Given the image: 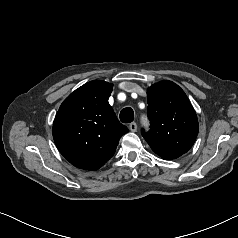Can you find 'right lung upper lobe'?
Instances as JSON below:
<instances>
[{"label":"right lung upper lobe","instance_id":"cb5924a9","mask_svg":"<svg viewBox=\"0 0 238 238\" xmlns=\"http://www.w3.org/2000/svg\"><path fill=\"white\" fill-rule=\"evenodd\" d=\"M112 87L105 81H90L72 92L56 114L54 141L64 158L77 168L102 167L129 131L108 103Z\"/></svg>","mask_w":238,"mask_h":238}]
</instances>
